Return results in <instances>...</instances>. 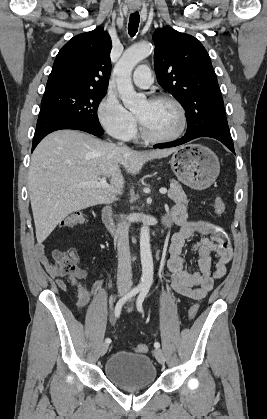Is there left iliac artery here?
<instances>
[{
  "instance_id": "1",
  "label": "left iliac artery",
  "mask_w": 267,
  "mask_h": 419,
  "mask_svg": "<svg viewBox=\"0 0 267 419\" xmlns=\"http://www.w3.org/2000/svg\"><path fill=\"white\" fill-rule=\"evenodd\" d=\"M148 292H149V288L148 287L142 288V290H141V292H140V294H139V296L137 298L136 307H137V310L139 312H141V313H143L142 304H143V301H144L145 297L147 296ZM154 347L155 348H159L160 347V343L159 342H155L154 343Z\"/></svg>"
}]
</instances>
